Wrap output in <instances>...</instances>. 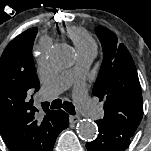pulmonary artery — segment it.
Returning a JSON list of instances; mask_svg holds the SVG:
<instances>
[{"instance_id": "obj_1", "label": "pulmonary artery", "mask_w": 151, "mask_h": 151, "mask_svg": "<svg viewBox=\"0 0 151 151\" xmlns=\"http://www.w3.org/2000/svg\"><path fill=\"white\" fill-rule=\"evenodd\" d=\"M95 55V50L79 53L77 66L60 79L46 84L43 89L44 92L49 95H56L65 89L70 82H74V97L76 102L78 103L79 107L93 119L100 117L101 111L100 108L92 103V101L89 99L84 77Z\"/></svg>"}]
</instances>
